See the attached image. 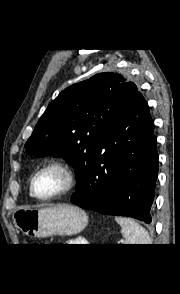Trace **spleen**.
<instances>
[{"mask_svg":"<svg viewBox=\"0 0 180 294\" xmlns=\"http://www.w3.org/2000/svg\"><path fill=\"white\" fill-rule=\"evenodd\" d=\"M121 226L124 244H151L149 233L135 220L125 217H115Z\"/></svg>","mask_w":180,"mask_h":294,"instance_id":"obj_1","label":"spleen"}]
</instances>
